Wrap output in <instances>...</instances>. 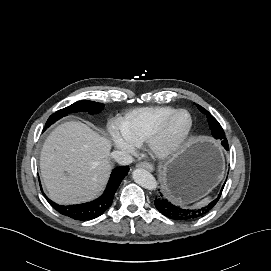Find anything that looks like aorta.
I'll list each match as a JSON object with an SVG mask.
<instances>
[{"label": "aorta", "instance_id": "aorta-1", "mask_svg": "<svg viewBox=\"0 0 271 271\" xmlns=\"http://www.w3.org/2000/svg\"><path fill=\"white\" fill-rule=\"evenodd\" d=\"M132 178L138 185L145 189L155 190L157 188V181L155 177L145 169H135L132 172Z\"/></svg>", "mask_w": 271, "mask_h": 271}]
</instances>
